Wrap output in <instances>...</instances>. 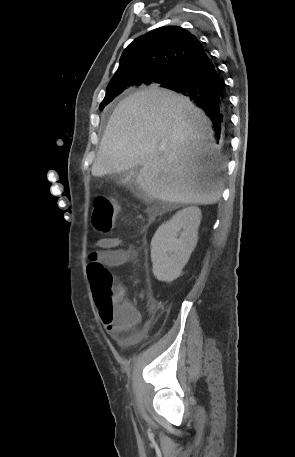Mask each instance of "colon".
Returning <instances> with one entry per match:
<instances>
[{"mask_svg":"<svg viewBox=\"0 0 295 457\" xmlns=\"http://www.w3.org/2000/svg\"><path fill=\"white\" fill-rule=\"evenodd\" d=\"M117 213L118 206L111 197H97L91 214L92 229L100 233L109 232ZM87 274L101 319L110 321L120 317L126 311L125 289L116 284L110 271L97 261L89 262Z\"/></svg>","mask_w":295,"mask_h":457,"instance_id":"obj_1","label":"colon"}]
</instances>
